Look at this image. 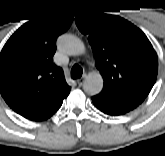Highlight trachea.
Returning <instances> with one entry per match:
<instances>
[{
    "label": "trachea",
    "mask_w": 165,
    "mask_h": 156,
    "mask_svg": "<svg viewBox=\"0 0 165 156\" xmlns=\"http://www.w3.org/2000/svg\"><path fill=\"white\" fill-rule=\"evenodd\" d=\"M83 70L79 65H74L71 69V77L73 79H78L82 76Z\"/></svg>",
    "instance_id": "obj_1"
}]
</instances>
